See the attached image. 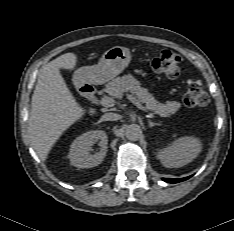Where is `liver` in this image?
Returning a JSON list of instances; mask_svg holds the SVG:
<instances>
[{
    "label": "liver",
    "instance_id": "liver-1",
    "mask_svg": "<svg viewBox=\"0 0 234 231\" xmlns=\"http://www.w3.org/2000/svg\"><path fill=\"white\" fill-rule=\"evenodd\" d=\"M76 63L74 53L63 54L43 66L38 77L31 100L29 134L43 161L61 135L86 114L60 73L61 68L73 70Z\"/></svg>",
    "mask_w": 234,
    "mask_h": 231
}]
</instances>
